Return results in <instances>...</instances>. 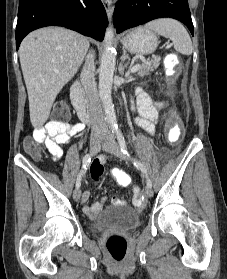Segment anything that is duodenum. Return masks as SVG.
<instances>
[{
	"label": "duodenum",
	"mask_w": 227,
	"mask_h": 279,
	"mask_svg": "<svg viewBox=\"0 0 227 279\" xmlns=\"http://www.w3.org/2000/svg\"><path fill=\"white\" fill-rule=\"evenodd\" d=\"M70 93L73 106L80 120L87 123L89 121L90 111L82 85L79 82L73 83L70 88Z\"/></svg>",
	"instance_id": "410a0bca"
}]
</instances>
